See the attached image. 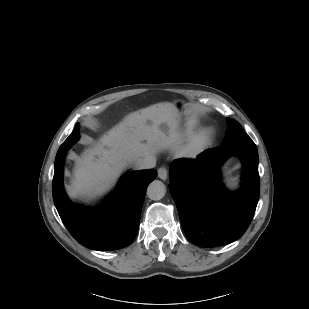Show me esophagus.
<instances>
[{"mask_svg":"<svg viewBox=\"0 0 309 309\" xmlns=\"http://www.w3.org/2000/svg\"><path fill=\"white\" fill-rule=\"evenodd\" d=\"M158 177L162 180H166L168 177V170L166 167L162 166L158 169Z\"/></svg>","mask_w":309,"mask_h":309,"instance_id":"obj_1","label":"esophagus"}]
</instances>
